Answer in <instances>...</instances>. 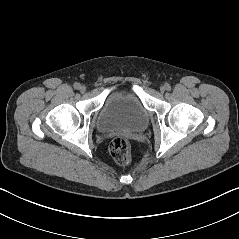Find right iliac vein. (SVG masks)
<instances>
[{"label":"right iliac vein","instance_id":"63e3f726","mask_svg":"<svg viewBox=\"0 0 239 239\" xmlns=\"http://www.w3.org/2000/svg\"><path fill=\"white\" fill-rule=\"evenodd\" d=\"M81 93H84L86 91V87L85 86H80L79 88Z\"/></svg>","mask_w":239,"mask_h":239}]
</instances>
